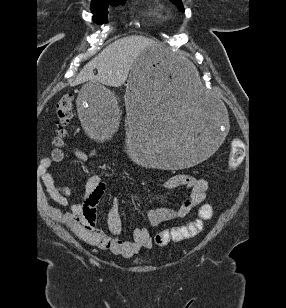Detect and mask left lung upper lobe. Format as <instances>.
<instances>
[{
	"instance_id": "left-lung-upper-lobe-1",
	"label": "left lung upper lobe",
	"mask_w": 286,
	"mask_h": 308,
	"mask_svg": "<svg viewBox=\"0 0 286 308\" xmlns=\"http://www.w3.org/2000/svg\"><path fill=\"white\" fill-rule=\"evenodd\" d=\"M170 1L174 3L181 11H184L181 0H170Z\"/></svg>"
}]
</instances>
